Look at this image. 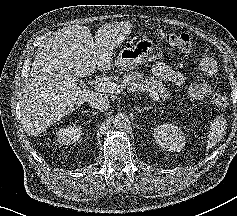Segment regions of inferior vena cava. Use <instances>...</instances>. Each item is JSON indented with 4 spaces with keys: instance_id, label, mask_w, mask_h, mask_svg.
Wrapping results in <instances>:
<instances>
[{
    "instance_id": "obj_1",
    "label": "inferior vena cava",
    "mask_w": 237,
    "mask_h": 216,
    "mask_svg": "<svg viewBox=\"0 0 237 216\" xmlns=\"http://www.w3.org/2000/svg\"><path fill=\"white\" fill-rule=\"evenodd\" d=\"M88 104L90 107L104 112L110 108L109 96L105 93L95 92L88 100Z\"/></svg>"
}]
</instances>
